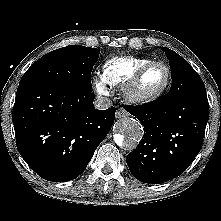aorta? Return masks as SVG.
<instances>
[{
    "label": "aorta",
    "instance_id": "aorta-1",
    "mask_svg": "<svg viewBox=\"0 0 221 221\" xmlns=\"http://www.w3.org/2000/svg\"><path fill=\"white\" fill-rule=\"evenodd\" d=\"M116 131L117 133L114 135L115 143L126 150H134L144 133L142 124L138 120L129 117L117 122Z\"/></svg>",
    "mask_w": 221,
    "mask_h": 221
}]
</instances>
